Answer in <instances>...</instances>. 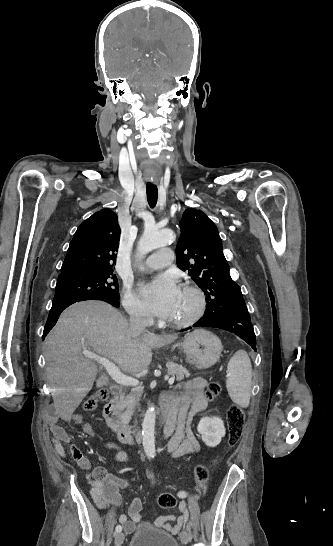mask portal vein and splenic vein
I'll return each mask as SVG.
<instances>
[{
	"label": "portal vein and splenic vein",
	"instance_id": "1",
	"mask_svg": "<svg viewBox=\"0 0 333 546\" xmlns=\"http://www.w3.org/2000/svg\"><path fill=\"white\" fill-rule=\"evenodd\" d=\"M85 356L101 364L106 369L108 374L112 377V379L121 386H138L140 384V381L138 379L123 374L120 369L115 366V364L109 359L91 352H86ZM166 379H168V383L170 385H172L175 380L174 377H167Z\"/></svg>",
	"mask_w": 333,
	"mask_h": 546
}]
</instances>
